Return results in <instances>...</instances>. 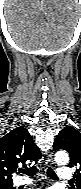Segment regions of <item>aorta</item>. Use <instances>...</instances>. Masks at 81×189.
<instances>
[{
	"mask_svg": "<svg viewBox=\"0 0 81 189\" xmlns=\"http://www.w3.org/2000/svg\"><path fill=\"white\" fill-rule=\"evenodd\" d=\"M55 161L58 164L65 165L69 162V156L65 151H59L55 154Z\"/></svg>",
	"mask_w": 81,
	"mask_h": 189,
	"instance_id": "aorta-1",
	"label": "aorta"
}]
</instances>
